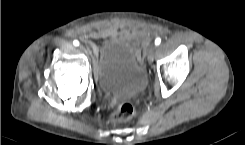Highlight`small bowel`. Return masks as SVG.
Masks as SVG:
<instances>
[{
  "instance_id": "small-bowel-1",
  "label": "small bowel",
  "mask_w": 245,
  "mask_h": 145,
  "mask_svg": "<svg viewBox=\"0 0 245 145\" xmlns=\"http://www.w3.org/2000/svg\"><path fill=\"white\" fill-rule=\"evenodd\" d=\"M113 31L107 28H99L93 35L94 38H104L105 36H108ZM127 36L131 37H141V38H147L149 36V31L146 29L137 30V31H127L125 32Z\"/></svg>"
}]
</instances>
